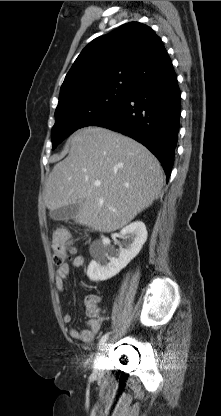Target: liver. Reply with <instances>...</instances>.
Instances as JSON below:
<instances>
[{"instance_id": "liver-1", "label": "liver", "mask_w": 221, "mask_h": 416, "mask_svg": "<svg viewBox=\"0 0 221 416\" xmlns=\"http://www.w3.org/2000/svg\"><path fill=\"white\" fill-rule=\"evenodd\" d=\"M163 181L160 162L145 146L120 133L90 126L70 138L69 154L49 174L43 200L50 211L78 203L75 221L108 233L151 206Z\"/></svg>"}]
</instances>
